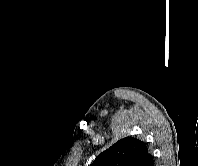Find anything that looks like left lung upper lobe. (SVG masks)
Masks as SVG:
<instances>
[{
  "label": "left lung upper lobe",
  "mask_w": 198,
  "mask_h": 166,
  "mask_svg": "<svg viewBox=\"0 0 198 166\" xmlns=\"http://www.w3.org/2000/svg\"><path fill=\"white\" fill-rule=\"evenodd\" d=\"M147 145L134 137H125L102 152L90 166H153Z\"/></svg>",
  "instance_id": "5c2ea615"
}]
</instances>
